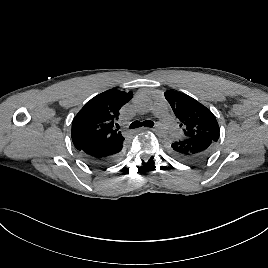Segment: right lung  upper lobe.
<instances>
[{"label":"right lung upper lobe","instance_id":"cb5924a9","mask_svg":"<svg viewBox=\"0 0 268 268\" xmlns=\"http://www.w3.org/2000/svg\"><path fill=\"white\" fill-rule=\"evenodd\" d=\"M133 96L132 92L107 90L91 100L72 122V141L77 149L87 146L114 144L124 139L114 128L119 110Z\"/></svg>","mask_w":268,"mask_h":268}]
</instances>
